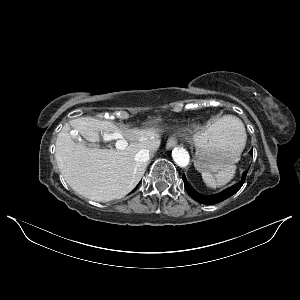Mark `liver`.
<instances>
[{"label": "liver", "instance_id": "6515ba94", "mask_svg": "<svg viewBox=\"0 0 300 300\" xmlns=\"http://www.w3.org/2000/svg\"><path fill=\"white\" fill-rule=\"evenodd\" d=\"M70 125L89 142H98L99 132L108 139L118 133L129 145L113 150L76 142L69 133ZM159 137L157 128L127 130L108 121L77 118L58 134L55 158L60 173L72 189L90 200L108 202L124 197L139 183L147 163L136 162L135 154L141 149L154 153Z\"/></svg>", "mask_w": 300, "mask_h": 300}]
</instances>
